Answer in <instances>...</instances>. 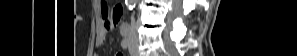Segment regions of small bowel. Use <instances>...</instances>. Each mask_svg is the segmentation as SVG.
Masks as SVG:
<instances>
[{"label":"small bowel","mask_w":297,"mask_h":56,"mask_svg":"<svg viewBox=\"0 0 297 56\" xmlns=\"http://www.w3.org/2000/svg\"><path fill=\"white\" fill-rule=\"evenodd\" d=\"M98 8L101 17V23L99 26V34L96 40V46L97 48H100L105 44L106 36L109 30L115 28L119 23L123 14V8L122 6H116L110 13L105 1H99ZM117 56H123V54L117 53Z\"/></svg>","instance_id":"obj_1"}]
</instances>
